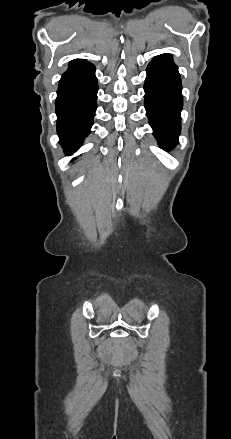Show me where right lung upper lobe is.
I'll return each instance as SVG.
<instances>
[{
	"label": "right lung upper lobe",
	"mask_w": 231,
	"mask_h": 439,
	"mask_svg": "<svg viewBox=\"0 0 231 439\" xmlns=\"http://www.w3.org/2000/svg\"><path fill=\"white\" fill-rule=\"evenodd\" d=\"M77 60H79V59H75V60L71 61V63L74 62V61H77Z\"/></svg>",
	"instance_id": "cb5924a9"
}]
</instances>
